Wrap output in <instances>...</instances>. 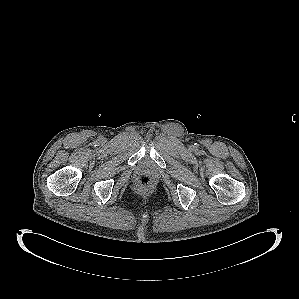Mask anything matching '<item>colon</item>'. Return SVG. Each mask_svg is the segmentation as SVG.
Returning <instances> with one entry per match:
<instances>
[{
    "label": "colon",
    "mask_w": 299,
    "mask_h": 299,
    "mask_svg": "<svg viewBox=\"0 0 299 299\" xmlns=\"http://www.w3.org/2000/svg\"><path fill=\"white\" fill-rule=\"evenodd\" d=\"M153 179L150 175L143 174L138 178V185L142 188L151 186Z\"/></svg>",
    "instance_id": "1"
}]
</instances>
